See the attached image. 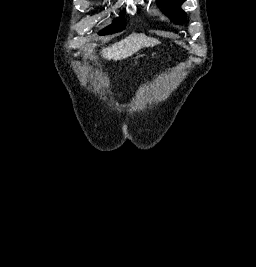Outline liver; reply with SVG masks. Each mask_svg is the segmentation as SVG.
<instances>
[{
  "label": "liver",
  "instance_id": "liver-1",
  "mask_svg": "<svg viewBox=\"0 0 256 267\" xmlns=\"http://www.w3.org/2000/svg\"><path fill=\"white\" fill-rule=\"evenodd\" d=\"M156 44H161L159 40H155V38H148L145 34H130L121 42H117V44H112L109 48H104L102 50L103 58L106 60H125V58H130L142 48H149V46H156Z\"/></svg>",
  "mask_w": 256,
  "mask_h": 267
}]
</instances>
